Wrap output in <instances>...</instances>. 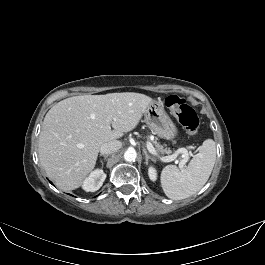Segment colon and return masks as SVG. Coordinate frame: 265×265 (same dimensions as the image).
Returning a JSON list of instances; mask_svg holds the SVG:
<instances>
[{"mask_svg":"<svg viewBox=\"0 0 265 265\" xmlns=\"http://www.w3.org/2000/svg\"><path fill=\"white\" fill-rule=\"evenodd\" d=\"M165 105L190 135L197 133L200 125L198 115L184 99L177 95H170L165 99Z\"/></svg>","mask_w":265,"mask_h":265,"instance_id":"obj_1","label":"colon"}]
</instances>
